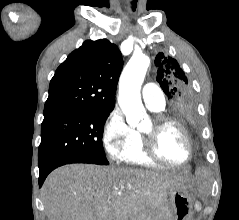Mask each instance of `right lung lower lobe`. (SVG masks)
Masks as SVG:
<instances>
[{
	"label": "right lung lower lobe",
	"instance_id": "1",
	"mask_svg": "<svg viewBox=\"0 0 239 220\" xmlns=\"http://www.w3.org/2000/svg\"><path fill=\"white\" fill-rule=\"evenodd\" d=\"M68 163H82V162H74V161H58V162H54L51 163L43 168H39V186L41 187L45 178L47 177V175L54 170L55 168L64 165V164H68Z\"/></svg>",
	"mask_w": 239,
	"mask_h": 220
}]
</instances>
